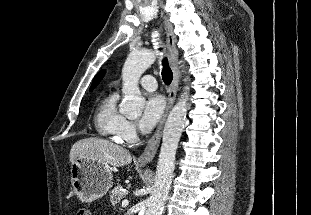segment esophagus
<instances>
[{
	"label": "esophagus",
	"instance_id": "34e87169",
	"mask_svg": "<svg viewBox=\"0 0 311 215\" xmlns=\"http://www.w3.org/2000/svg\"><path fill=\"white\" fill-rule=\"evenodd\" d=\"M164 19V24H165V33H166V41H167V47H168V53H169V61H170V66L173 72V80L169 89V95H168V104L166 111L159 122V125L151 137V139L148 141L143 153L138 157L137 163L139 165L145 166L149 164L159 147L160 140H161V135H162V130L164 126V122L167 118V115L173 106L178 90V84H179V68H178V50L176 46V36L174 35L173 32V26L172 24L168 21L166 17Z\"/></svg>",
	"mask_w": 311,
	"mask_h": 215
}]
</instances>
